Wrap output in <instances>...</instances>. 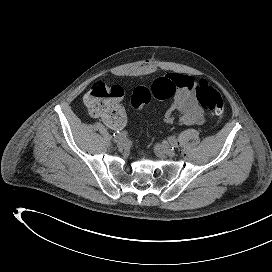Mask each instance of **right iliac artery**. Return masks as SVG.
Segmentation results:
<instances>
[{"instance_id":"82829eb1","label":"right iliac artery","mask_w":272,"mask_h":272,"mask_svg":"<svg viewBox=\"0 0 272 272\" xmlns=\"http://www.w3.org/2000/svg\"><path fill=\"white\" fill-rule=\"evenodd\" d=\"M128 134L127 131L118 132L116 135L114 134V142H118L120 139L126 137Z\"/></svg>"}]
</instances>
